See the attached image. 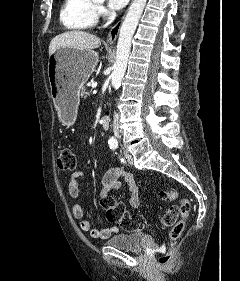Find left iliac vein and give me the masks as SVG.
<instances>
[{
  "mask_svg": "<svg viewBox=\"0 0 240 281\" xmlns=\"http://www.w3.org/2000/svg\"><path fill=\"white\" fill-rule=\"evenodd\" d=\"M124 155H125V158L126 160L128 161L129 164H132L133 163V157L132 155L128 152V151H125L124 152Z\"/></svg>",
  "mask_w": 240,
  "mask_h": 281,
  "instance_id": "1",
  "label": "left iliac vein"
}]
</instances>
